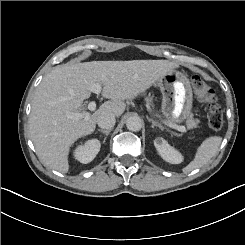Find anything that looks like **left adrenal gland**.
<instances>
[{
  "mask_svg": "<svg viewBox=\"0 0 245 245\" xmlns=\"http://www.w3.org/2000/svg\"><path fill=\"white\" fill-rule=\"evenodd\" d=\"M147 120L151 121V127L154 125H157L159 128L164 129L163 126H161L158 122H156L153 118H150L149 115H146Z\"/></svg>",
  "mask_w": 245,
  "mask_h": 245,
  "instance_id": "a2214340",
  "label": "left adrenal gland"
}]
</instances>
